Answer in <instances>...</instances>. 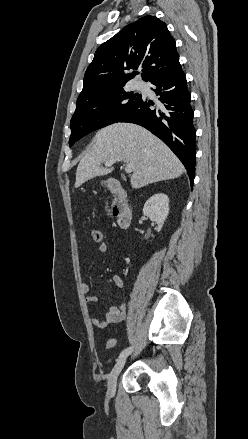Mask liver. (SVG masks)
<instances>
[{"mask_svg":"<svg viewBox=\"0 0 248 439\" xmlns=\"http://www.w3.org/2000/svg\"><path fill=\"white\" fill-rule=\"evenodd\" d=\"M121 159L134 166L131 186L139 189L150 183L178 178L184 166L175 154L155 135L131 123H116L100 129L91 149L81 159L75 188L112 169L102 163Z\"/></svg>","mask_w":248,"mask_h":439,"instance_id":"6515ba94","label":"liver"}]
</instances>
